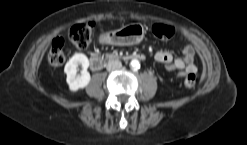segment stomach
Masks as SVG:
<instances>
[{"label": "stomach", "mask_w": 247, "mask_h": 145, "mask_svg": "<svg viewBox=\"0 0 247 145\" xmlns=\"http://www.w3.org/2000/svg\"><path fill=\"white\" fill-rule=\"evenodd\" d=\"M145 30L141 24H129L103 35V41L112 45L128 46L140 43Z\"/></svg>", "instance_id": "obj_1"}]
</instances>
